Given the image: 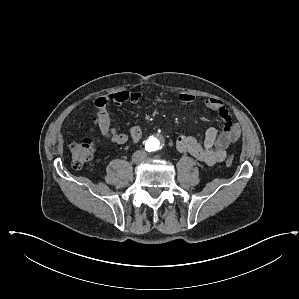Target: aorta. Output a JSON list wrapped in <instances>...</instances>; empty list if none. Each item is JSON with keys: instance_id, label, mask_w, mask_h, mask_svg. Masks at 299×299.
<instances>
[{"instance_id": "1", "label": "aorta", "mask_w": 299, "mask_h": 299, "mask_svg": "<svg viewBox=\"0 0 299 299\" xmlns=\"http://www.w3.org/2000/svg\"><path fill=\"white\" fill-rule=\"evenodd\" d=\"M163 141L160 135L149 136L145 142V148L148 152L156 153L162 147Z\"/></svg>"}]
</instances>
